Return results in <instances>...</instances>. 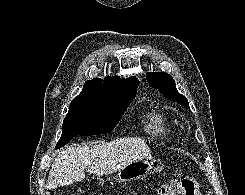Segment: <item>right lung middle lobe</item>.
Segmentation results:
<instances>
[{"label": "right lung middle lobe", "instance_id": "1", "mask_svg": "<svg viewBox=\"0 0 245 195\" xmlns=\"http://www.w3.org/2000/svg\"><path fill=\"white\" fill-rule=\"evenodd\" d=\"M131 100L111 102L76 97L72 100L63 121L62 135L56 149L67 144L75 136H88L111 132L126 111Z\"/></svg>", "mask_w": 245, "mask_h": 195}]
</instances>
